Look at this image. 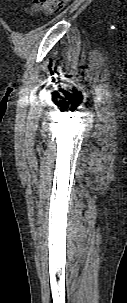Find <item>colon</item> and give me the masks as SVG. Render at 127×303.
Here are the masks:
<instances>
[{
  "label": "colon",
  "mask_w": 127,
  "mask_h": 303,
  "mask_svg": "<svg viewBox=\"0 0 127 303\" xmlns=\"http://www.w3.org/2000/svg\"><path fill=\"white\" fill-rule=\"evenodd\" d=\"M68 0H33V7L38 11L49 9H61L65 6Z\"/></svg>",
  "instance_id": "1"
}]
</instances>
